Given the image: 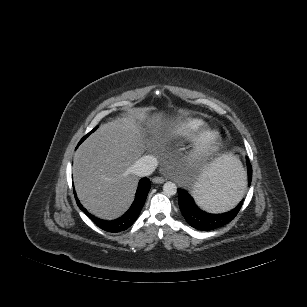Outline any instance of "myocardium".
I'll return each mask as SVG.
<instances>
[{"instance_id": "myocardium-1", "label": "myocardium", "mask_w": 307, "mask_h": 307, "mask_svg": "<svg viewBox=\"0 0 307 307\" xmlns=\"http://www.w3.org/2000/svg\"><path fill=\"white\" fill-rule=\"evenodd\" d=\"M219 135L213 129L201 131L194 140L193 146L188 151L186 160L190 164L204 160L215 148Z\"/></svg>"}]
</instances>
